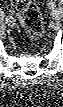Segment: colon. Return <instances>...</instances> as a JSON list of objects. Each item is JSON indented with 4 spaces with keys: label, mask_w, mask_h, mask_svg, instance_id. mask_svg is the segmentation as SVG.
<instances>
[{
    "label": "colon",
    "mask_w": 63,
    "mask_h": 107,
    "mask_svg": "<svg viewBox=\"0 0 63 107\" xmlns=\"http://www.w3.org/2000/svg\"><path fill=\"white\" fill-rule=\"evenodd\" d=\"M12 8L30 40H37L42 33V17L39 9L29 0H13Z\"/></svg>",
    "instance_id": "5ec220e1"
}]
</instances>
